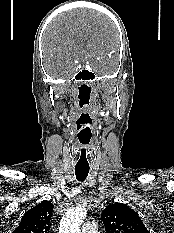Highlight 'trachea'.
<instances>
[{
    "label": "trachea",
    "mask_w": 174,
    "mask_h": 233,
    "mask_svg": "<svg viewBox=\"0 0 174 233\" xmlns=\"http://www.w3.org/2000/svg\"><path fill=\"white\" fill-rule=\"evenodd\" d=\"M89 173V167H75V175L78 181H84Z\"/></svg>",
    "instance_id": "trachea-1"
}]
</instances>
